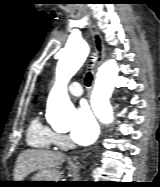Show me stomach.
<instances>
[{"mask_svg":"<svg viewBox=\"0 0 160 187\" xmlns=\"http://www.w3.org/2000/svg\"><path fill=\"white\" fill-rule=\"evenodd\" d=\"M29 181H35V182L24 183L21 186L49 187V186H53L54 182L59 181V174L56 170L40 171L35 176H33L32 179Z\"/></svg>","mask_w":160,"mask_h":187,"instance_id":"obj_1","label":"stomach"}]
</instances>
